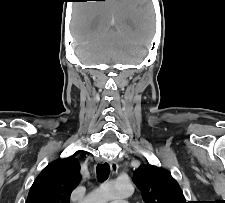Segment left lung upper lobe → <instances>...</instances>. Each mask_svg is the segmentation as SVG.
I'll use <instances>...</instances> for the list:
<instances>
[{"instance_id":"5c2ea615","label":"left lung upper lobe","mask_w":225,"mask_h":203,"mask_svg":"<svg viewBox=\"0 0 225 203\" xmlns=\"http://www.w3.org/2000/svg\"><path fill=\"white\" fill-rule=\"evenodd\" d=\"M133 180L145 203H187L178 183L165 169L150 164L141 166Z\"/></svg>"}]
</instances>
